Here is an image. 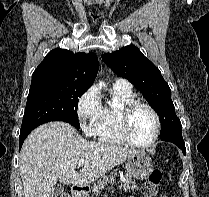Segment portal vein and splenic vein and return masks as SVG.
Returning <instances> with one entry per match:
<instances>
[{"instance_id": "obj_1", "label": "portal vein and splenic vein", "mask_w": 209, "mask_h": 197, "mask_svg": "<svg viewBox=\"0 0 209 197\" xmlns=\"http://www.w3.org/2000/svg\"><path fill=\"white\" fill-rule=\"evenodd\" d=\"M85 164V161L83 159L79 160L78 167H81Z\"/></svg>"}]
</instances>
